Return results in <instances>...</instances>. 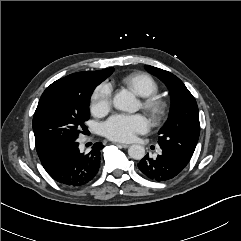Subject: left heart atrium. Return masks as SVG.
<instances>
[{
  "label": "left heart atrium",
  "mask_w": 241,
  "mask_h": 241,
  "mask_svg": "<svg viewBox=\"0 0 241 241\" xmlns=\"http://www.w3.org/2000/svg\"><path fill=\"white\" fill-rule=\"evenodd\" d=\"M149 128V121L141 114H116L103 124L104 135L118 142H130L137 134L145 133Z\"/></svg>",
  "instance_id": "left-heart-atrium-1"
}]
</instances>
